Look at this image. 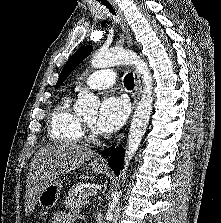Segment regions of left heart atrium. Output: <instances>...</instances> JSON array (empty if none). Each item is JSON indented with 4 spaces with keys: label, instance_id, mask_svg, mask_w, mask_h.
<instances>
[{
    "label": "left heart atrium",
    "instance_id": "1",
    "mask_svg": "<svg viewBox=\"0 0 221 223\" xmlns=\"http://www.w3.org/2000/svg\"><path fill=\"white\" fill-rule=\"evenodd\" d=\"M128 116V105L122 97H106L99 110L95 129L99 133L108 134L117 131Z\"/></svg>",
    "mask_w": 221,
    "mask_h": 223
}]
</instances>
